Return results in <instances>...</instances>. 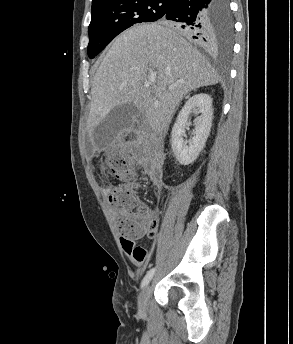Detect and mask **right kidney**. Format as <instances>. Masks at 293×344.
<instances>
[{"instance_id": "ca27d5eb", "label": "right kidney", "mask_w": 293, "mask_h": 344, "mask_svg": "<svg viewBox=\"0 0 293 344\" xmlns=\"http://www.w3.org/2000/svg\"><path fill=\"white\" fill-rule=\"evenodd\" d=\"M191 113L200 116L195 121L194 136L184 140L185 128L190 124ZM213 118L212 98L205 93L195 94L188 99L179 112L171 132V146L181 165L192 164L203 150L210 134Z\"/></svg>"}]
</instances>
